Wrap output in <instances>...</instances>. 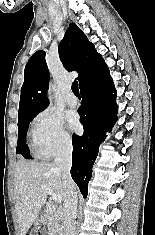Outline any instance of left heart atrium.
Masks as SVG:
<instances>
[{
  "label": "left heart atrium",
  "instance_id": "1",
  "mask_svg": "<svg viewBox=\"0 0 155 235\" xmlns=\"http://www.w3.org/2000/svg\"><path fill=\"white\" fill-rule=\"evenodd\" d=\"M67 120H68L69 127L72 130H77L79 128L80 124H79V120L76 114L74 113L68 114Z\"/></svg>",
  "mask_w": 155,
  "mask_h": 235
}]
</instances>
